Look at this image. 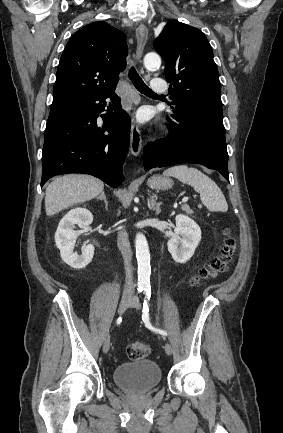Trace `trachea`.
Segmentation results:
<instances>
[{"label": "trachea", "mask_w": 283, "mask_h": 433, "mask_svg": "<svg viewBox=\"0 0 283 433\" xmlns=\"http://www.w3.org/2000/svg\"><path fill=\"white\" fill-rule=\"evenodd\" d=\"M129 78L133 82V85L137 90L141 93H144L145 95H156L151 88H149L146 83L142 80V78L139 76V74L136 72L135 68H130L129 70Z\"/></svg>", "instance_id": "3493384b"}]
</instances>
